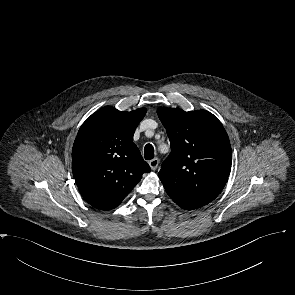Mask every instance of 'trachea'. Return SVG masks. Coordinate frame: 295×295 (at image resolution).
Wrapping results in <instances>:
<instances>
[{
  "mask_svg": "<svg viewBox=\"0 0 295 295\" xmlns=\"http://www.w3.org/2000/svg\"><path fill=\"white\" fill-rule=\"evenodd\" d=\"M144 155L146 160H151L154 158V148L151 144L145 145Z\"/></svg>",
  "mask_w": 295,
  "mask_h": 295,
  "instance_id": "3493384b",
  "label": "trachea"
}]
</instances>
